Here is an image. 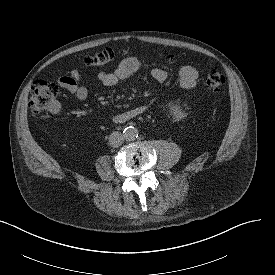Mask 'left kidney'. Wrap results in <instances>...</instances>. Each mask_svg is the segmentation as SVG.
<instances>
[{
    "label": "left kidney",
    "mask_w": 275,
    "mask_h": 275,
    "mask_svg": "<svg viewBox=\"0 0 275 275\" xmlns=\"http://www.w3.org/2000/svg\"><path fill=\"white\" fill-rule=\"evenodd\" d=\"M171 113L176 120H181L182 118L186 117V114L182 111L179 106H173L171 108Z\"/></svg>",
    "instance_id": "left-kidney-1"
}]
</instances>
